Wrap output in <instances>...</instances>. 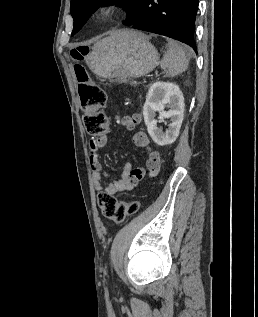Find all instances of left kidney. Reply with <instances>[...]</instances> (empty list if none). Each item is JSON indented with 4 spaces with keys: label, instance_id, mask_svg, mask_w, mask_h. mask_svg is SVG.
<instances>
[{
    "label": "left kidney",
    "instance_id": "1",
    "mask_svg": "<svg viewBox=\"0 0 258 317\" xmlns=\"http://www.w3.org/2000/svg\"><path fill=\"white\" fill-rule=\"evenodd\" d=\"M165 106H169L170 110H164ZM156 112H159L160 120L154 118ZM183 112L184 96L178 84L163 82V80L153 82L146 96L143 114L147 130L156 144L165 146L176 140L182 124ZM163 118L171 120L165 132L157 126V122H162Z\"/></svg>",
    "mask_w": 258,
    "mask_h": 317
}]
</instances>
